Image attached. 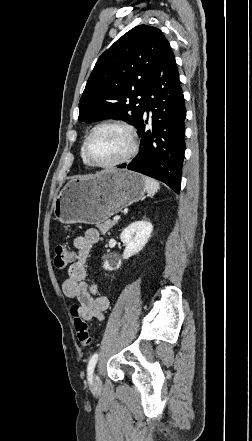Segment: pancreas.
Here are the masks:
<instances>
[{
	"mask_svg": "<svg viewBox=\"0 0 252 441\" xmlns=\"http://www.w3.org/2000/svg\"><path fill=\"white\" fill-rule=\"evenodd\" d=\"M116 224L115 221H106L101 223H96V227L100 230L102 234H106V232L112 228Z\"/></svg>",
	"mask_w": 252,
	"mask_h": 441,
	"instance_id": "obj_1",
	"label": "pancreas"
}]
</instances>
